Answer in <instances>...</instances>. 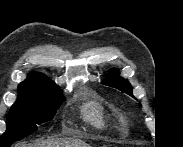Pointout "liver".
<instances>
[{"label":"liver","mask_w":183,"mask_h":147,"mask_svg":"<svg viewBox=\"0 0 183 147\" xmlns=\"http://www.w3.org/2000/svg\"><path fill=\"white\" fill-rule=\"evenodd\" d=\"M23 147H90V146L78 138H66V139L36 141L33 144L23 145Z\"/></svg>","instance_id":"1"}]
</instances>
